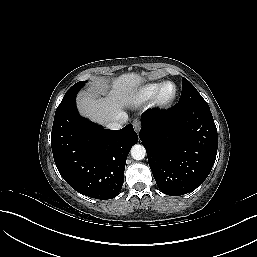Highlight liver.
Masks as SVG:
<instances>
[{
	"label": "liver",
	"mask_w": 257,
	"mask_h": 257,
	"mask_svg": "<svg viewBox=\"0 0 257 257\" xmlns=\"http://www.w3.org/2000/svg\"><path fill=\"white\" fill-rule=\"evenodd\" d=\"M141 80L136 73L123 74L112 80V88L107 97L97 98L87 93L81 95L77 101L80 113L101 124L116 120L121 112L123 96Z\"/></svg>",
	"instance_id": "1"
}]
</instances>
